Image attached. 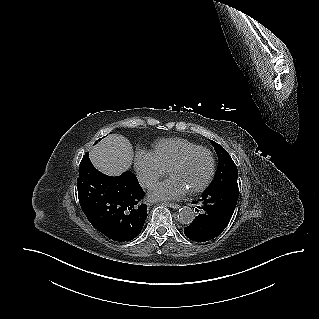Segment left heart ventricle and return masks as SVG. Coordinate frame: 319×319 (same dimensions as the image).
Listing matches in <instances>:
<instances>
[{
	"mask_svg": "<svg viewBox=\"0 0 319 319\" xmlns=\"http://www.w3.org/2000/svg\"><path fill=\"white\" fill-rule=\"evenodd\" d=\"M210 170V158L205 152L189 157L181 166L174 169L170 176L177 179L189 191L204 182Z\"/></svg>",
	"mask_w": 319,
	"mask_h": 319,
	"instance_id": "b2bd125f",
	"label": "left heart ventricle"
}]
</instances>
